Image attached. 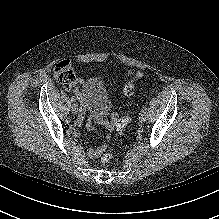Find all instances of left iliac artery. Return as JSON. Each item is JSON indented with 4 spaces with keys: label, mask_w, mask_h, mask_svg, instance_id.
<instances>
[{
    "label": "left iliac artery",
    "mask_w": 219,
    "mask_h": 219,
    "mask_svg": "<svg viewBox=\"0 0 219 219\" xmlns=\"http://www.w3.org/2000/svg\"><path fill=\"white\" fill-rule=\"evenodd\" d=\"M147 108H146V105L142 107V110L141 111H146Z\"/></svg>",
    "instance_id": "1"
}]
</instances>
